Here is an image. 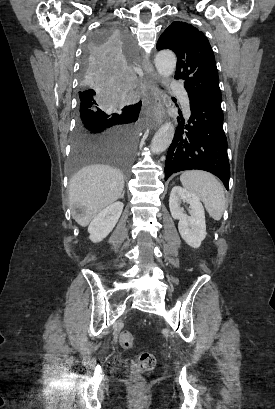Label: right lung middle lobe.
<instances>
[{"mask_svg":"<svg viewBox=\"0 0 275 409\" xmlns=\"http://www.w3.org/2000/svg\"><path fill=\"white\" fill-rule=\"evenodd\" d=\"M135 50L136 43L123 24H101L89 38L76 73L82 90L68 166L71 178L78 176L81 167L98 164H113L125 178L131 177L141 104L125 105V96L113 91L126 90Z\"/></svg>","mask_w":275,"mask_h":409,"instance_id":"1","label":"right lung middle lobe"}]
</instances>
